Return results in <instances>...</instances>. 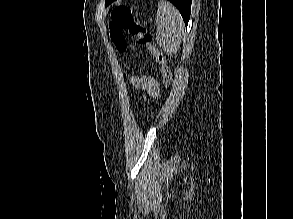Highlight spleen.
I'll return each mask as SVG.
<instances>
[{"instance_id": "obj_1", "label": "spleen", "mask_w": 293, "mask_h": 219, "mask_svg": "<svg viewBox=\"0 0 293 219\" xmlns=\"http://www.w3.org/2000/svg\"><path fill=\"white\" fill-rule=\"evenodd\" d=\"M156 41L167 54L177 53L184 35V22L179 11L169 2L161 0L156 13Z\"/></svg>"}]
</instances>
